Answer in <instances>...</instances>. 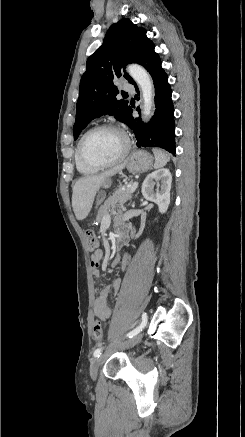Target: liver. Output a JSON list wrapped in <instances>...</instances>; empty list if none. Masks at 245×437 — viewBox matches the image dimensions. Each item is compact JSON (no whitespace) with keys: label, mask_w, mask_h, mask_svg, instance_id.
<instances>
[{"label":"liver","mask_w":245,"mask_h":437,"mask_svg":"<svg viewBox=\"0 0 245 437\" xmlns=\"http://www.w3.org/2000/svg\"><path fill=\"white\" fill-rule=\"evenodd\" d=\"M123 168L124 164L99 175L83 177L74 184L72 189V207L77 220H84L88 216L100 187L105 185L110 177Z\"/></svg>","instance_id":"6515ba94"}]
</instances>
